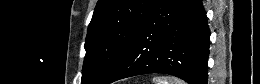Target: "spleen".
Here are the masks:
<instances>
[{"mask_svg":"<svg viewBox=\"0 0 260 84\" xmlns=\"http://www.w3.org/2000/svg\"><path fill=\"white\" fill-rule=\"evenodd\" d=\"M154 84H185L184 81L172 76H156L153 78Z\"/></svg>","mask_w":260,"mask_h":84,"instance_id":"1","label":"spleen"}]
</instances>
